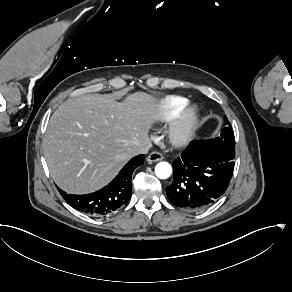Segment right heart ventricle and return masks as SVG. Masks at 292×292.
<instances>
[{
  "instance_id": "1",
  "label": "right heart ventricle",
  "mask_w": 292,
  "mask_h": 292,
  "mask_svg": "<svg viewBox=\"0 0 292 292\" xmlns=\"http://www.w3.org/2000/svg\"><path fill=\"white\" fill-rule=\"evenodd\" d=\"M188 104V99L179 95H168L160 100L159 120L164 122L172 118Z\"/></svg>"
}]
</instances>
